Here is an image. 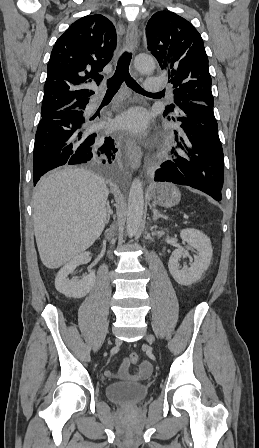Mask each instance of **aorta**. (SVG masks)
Here are the masks:
<instances>
[{"label": "aorta", "instance_id": "1", "mask_svg": "<svg viewBox=\"0 0 259 448\" xmlns=\"http://www.w3.org/2000/svg\"><path fill=\"white\" fill-rule=\"evenodd\" d=\"M134 65L142 74H151L155 69L154 59L151 56L144 54L136 56ZM143 210V185L139 178H135L130 187L127 208L126 232L130 238L135 236L140 230Z\"/></svg>", "mask_w": 259, "mask_h": 448}]
</instances>
